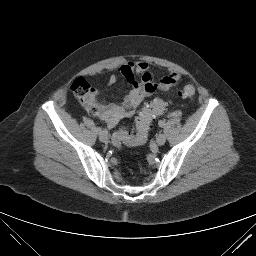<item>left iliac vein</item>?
Returning a JSON list of instances; mask_svg holds the SVG:
<instances>
[{
    "label": "left iliac vein",
    "instance_id": "1",
    "mask_svg": "<svg viewBox=\"0 0 256 256\" xmlns=\"http://www.w3.org/2000/svg\"><path fill=\"white\" fill-rule=\"evenodd\" d=\"M166 142V137L164 134H159L157 137H156V143L161 146L163 145L164 143Z\"/></svg>",
    "mask_w": 256,
    "mask_h": 256
}]
</instances>
